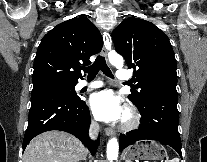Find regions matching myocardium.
I'll list each match as a JSON object with an SVG mask.
<instances>
[{
	"mask_svg": "<svg viewBox=\"0 0 207 162\" xmlns=\"http://www.w3.org/2000/svg\"><path fill=\"white\" fill-rule=\"evenodd\" d=\"M140 120V115L136 107L129 105L125 109V117H123L120 128L122 130L128 131L137 126Z\"/></svg>",
	"mask_w": 207,
	"mask_h": 162,
	"instance_id": "1",
	"label": "myocardium"
}]
</instances>
